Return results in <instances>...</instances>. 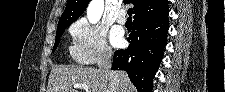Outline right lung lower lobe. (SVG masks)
Listing matches in <instances>:
<instances>
[{
	"mask_svg": "<svg viewBox=\"0 0 225 92\" xmlns=\"http://www.w3.org/2000/svg\"><path fill=\"white\" fill-rule=\"evenodd\" d=\"M168 13L135 19L128 48L114 53L112 69L125 70L139 92H152L153 78L166 46Z\"/></svg>",
	"mask_w": 225,
	"mask_h": 92,
	"instance_id": "98d812e1",
	"label": "right lung lower lobe"
}]
</instances>
